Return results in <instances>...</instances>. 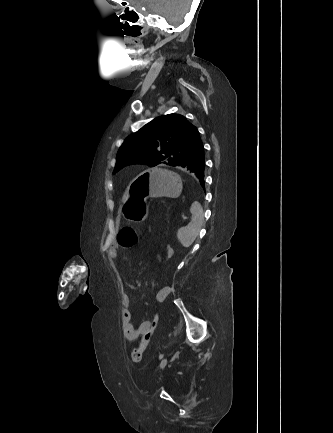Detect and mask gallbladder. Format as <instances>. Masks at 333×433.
I'll list each match as a JSON object with an SVG mask.
<instances>
[{
    "instance_id": "obj_1",
    "label": "gallbladder",
    "mask_w": 333,
    "mask_h": 433,
    "mask_svg": "<svg viewBox=\"0 0 333 433\" xmlns=\"http://www.w3.org/2000/svg\"><path fill=\"white\" fill-rule=\"evenodd\" d=\"M105 17H106V16H105V15H103V16H101L100 18H101V19H103V18H105Z\"/></svg>"
}]
</instances>
